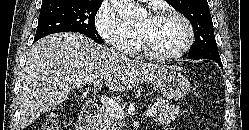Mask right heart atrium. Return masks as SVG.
I'll return each mask as SVG.
<instances>
[{"mask_svg": "<svg viewBox=\"0 0 249 130\" xmlns=\"http://www.w3.org/2000/svg\"><path fill=\"white\" fill-rule=\"evenodd\" d=\"M94 25L100 37L111 47L126 54L135 51L138 43L136 32L108 5L103 3L98 8Z\"/></svg>", "mask_w": 249, "mask_h": 130, "instance_id": "obj_1", "label": "right heart atrium"}]
</instances>
